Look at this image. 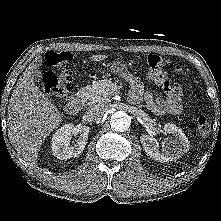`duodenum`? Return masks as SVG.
I'll list each match as a JSON object with an SVG mask.
<instances>
[{"label": "duodenum", "mask_w": 221, "mask_h": 221, "mask_svg": "<svg viewBox=\"0 0 221 221\" xmlns=\"http://www.w3.org/2000/svg\"><path fill=\"white\" fill-rule=\"evenodd\" d=\"M91 101V95L89 92L82 90L78 93V96L71 99L66 105V111L70 115H77L83 104H87Z\"/></svg>", "instance_id": "obj_1"}]
</instances>
